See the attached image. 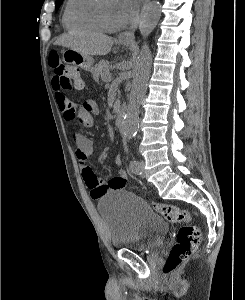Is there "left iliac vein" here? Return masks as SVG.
Here are the masks:
<instances>
[{"label":"left iliac vein","mask_w":245,"mask_h":300,"mask_svg":"<svg viewBox=\"0 0 245 300\" xmlns=\"http://www.w3.org/2000/svg\"><path fill=\"white\" fill-rule=\"evenodd\" d=\"M144 166H145V162L142 160V161L140 162V175H141L142 177L145 176Z\"/></svg>","instance_id":"4c4485c4"}]
</instances>
